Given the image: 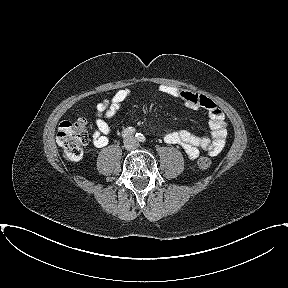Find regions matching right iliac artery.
Segmentation results:
<instances>
[{"mask_svg":"<svg viewBox=\"0 0 288 288\" xmlns=\"http://www.w3.org/2000/svg\"><path fill=\"white\" fill-rule=\"evenodd\" d=\"M135 133V129L133 127H128L123 130L122 137L127 138Z\"/></svg>","mask_w":288,"mask_h":288,"instance_id":"82829eb1","label":"right iliac artery"}]
</instances>
